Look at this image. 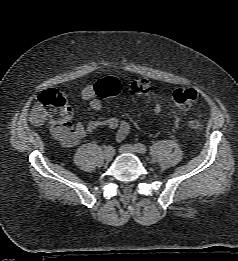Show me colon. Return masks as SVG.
I'll return each instance as SVG.
<instances>
[{
    "instance_id": "5ec220e1",
    "label": "colon",
    "mask_w": 238,
    "mask_h": 261,
    "mask_svg": "<svg viewBox=\"0 0 238 261\" xmlns=\"http://www.w3.org/2000/svg\"><path fill=\"white\" fill-rule=\"evenodd\" d=\"M97 94L100 97H111L121 91V83L117 78L107 77L100 80L96 85ZM150 82L146 78L134 79L130 86L129 92L132 95L144 96L150 91ZM198 93L190 87H177L172 94L174 103L183 110L191 109L196 103ZM71 117V108L67 96L55 89L43 91L35 101V107L31 112V120L34 124L40 125L45 120L49 123L58 124L69 120ZM193 129L201 127V114L191 122Z\"/></svg>"
}]
</instances>
